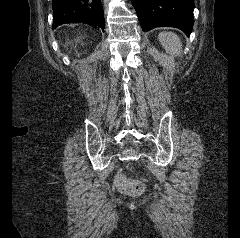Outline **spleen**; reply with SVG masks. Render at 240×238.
<instances>
[{
  "mask_svg": "<svg viewBox=\"0 0 240 238\" xmlns=\"http://www.w3.org/2000/svg\"><path fill=\"white\" fill-rule=\"evenodd\" d=\"M158 39L165 51L170 55H180L182 51V44L178 35L172 32L160 33Z\"/></svg>",
  "mask_w": 240,
  "mask_h": 238,
  "instance_id": "1",
  "label": "spleen"
}]
</instances>
